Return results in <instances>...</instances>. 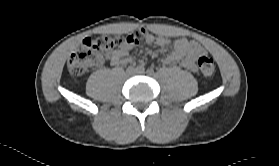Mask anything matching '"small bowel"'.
Instances as JSON below:
<instances>
[{
  "mask_svg": "<svg viewBox=\"0 0 279 166\" xmlns=\"http://www.w3.org/2000/svg\"><path fill=\"white\" fill-rule=\"evenodd\" d=\"M131 35L135 37L134 41L112 55L110 60L112 65L117 66L131 63L132 60L129 57V53L140 40H144L146 43H156L160 47L172 45L173 50L168 55L166 61L171 64L180 63L184 68L193 72L197 70V58L205 53V49L199 43L183 37L171 41L164 36L150 34L145 29H139Z\"/></svg>",
  "mask_w": 279,
  "mask_h": 166,
  "instance_id": "small-bowel-1",
  "label": "small bowel"
}]
</instances>
